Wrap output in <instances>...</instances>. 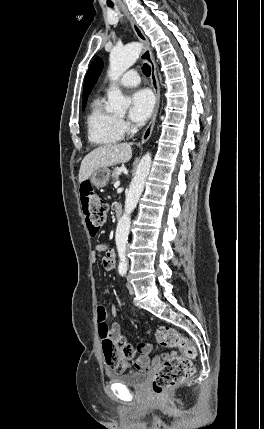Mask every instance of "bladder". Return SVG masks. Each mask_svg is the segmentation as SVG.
Segmentation results:
<instances>
[{"instance_id": "1", "label": "bladder", "mask_w": 264, "mask_h": 429, "mask_svg": "<svg viewBox=\"0 0 264 429\" xmlns=\"http://www.w3.org/2000/svg\"><path fill=\"white\" fill-rule=\"evenodd\" d=\"M151 372L149 370L146 371H138L128 374H115L109 373L107 376L109 380L122 384L131 388H140L142 387L150 378Z\"/></svg>"}]
</instances>
